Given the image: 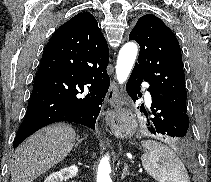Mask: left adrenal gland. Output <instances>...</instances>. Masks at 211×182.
Instances as JSON below:
<instances>
[{
  "label": "left adrenal gland",
  "instance_id": "obj_1",
  "mask_svg": "<svg viewBox=\"0 0 211 182\" xmlns=\"http://www.w3.org/2000/svg\"><path fill=\"white\" fill-rule=\"evenodd\" d=\"M128 164L124 165L123 171H122V175H121V180H123L127 175H131L134 176L133 173H130V171L128 170Z\"/></svg>",
  "mask_w": 211,
  "mask_h": 182
}]
</instances>
